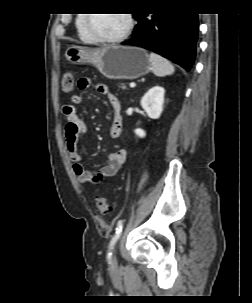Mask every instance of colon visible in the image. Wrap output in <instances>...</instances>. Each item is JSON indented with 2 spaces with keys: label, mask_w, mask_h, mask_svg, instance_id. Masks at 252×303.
Returning a JSON list of instances; mask_svg holds the SVG:
<instances>
[{
  "label": "colon",
  "mask_w": 252,
  "mask_h": 303,
  "mask_svg": "<svg viewBox=\"0 0 252 303\" xmlns=\"http://www.w3.org/2000/svg\"><path fill=\"white\" fill-rule=\"evenodd\" d=\"M75 86V78L71 72H66L62 76L61 87L64 93H70ZM96 209L103 215H108L112 211V205L110 201L105 197L96 198Z\"/></svg>",
  "instance_id": "obj_1"
}]
</instances>
